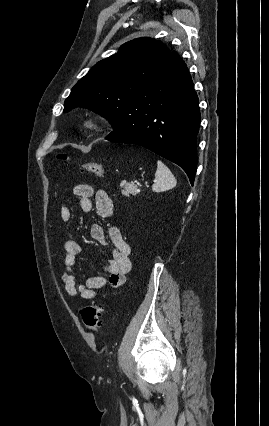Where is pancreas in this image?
<instances>
[{
	"label": "pancreas",
	"mask_w": 269,
	"mask_h": 426,
	"mask_svg": "<svg viewBox=\"0 0 269 426\" xmlns=\"http://www.w3.org/2000/svg\"><path fill=\"white\" fill-rule=\"evenodd\" d=\"M120 187H121V193L124 196H136L139 192L137 191V185L134 183H128V182H121L120 183Z\"/></svg>",
	"instance_id": "cf45deb5"
}]
</instances>
